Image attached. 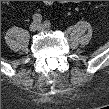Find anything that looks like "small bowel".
Wrapping results in <instances>:
<instances>
[{
	"instance_id": "obj_1",
	"label": "small bowel",
	"mask_w": 109,
	"mask_h": 109,
	"mask_svg": "<svg viewBox=\"0 0 109 109\" xmlns=\"http://www.w3.org/2000/svg\"><path fill=\"white\" fill-rule=\"evenodd\" d=\"M46 4H47V5H51L52 2H51V1H47Z\"/></svg>"
}]
</instances>
